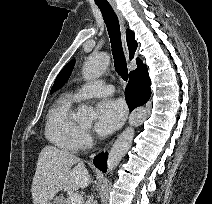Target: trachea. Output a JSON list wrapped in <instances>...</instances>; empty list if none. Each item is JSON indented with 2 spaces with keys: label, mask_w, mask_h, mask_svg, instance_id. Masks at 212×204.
Here are the masks:
<instances>
[{
  "label": "trachea",
  "mask_w": 212,
  "mask_h": 204,
  "mask_svg": "<svg viewBox=\"0 0 212 204\" xmlns=\"http://www.w3.org/2000/svg\"><path fill=\"white\" fill-rule=\"evenodd\" d=\"M98 7L101 10L103 19L106 23V27L108 30L115 70L124 81H127L128 69L126 59L123 53L120 26L117 15L115 14L114 10L110 5H98Z\"/></svg>",
  "instance_id": "trachea-1"
}]
</instances>
